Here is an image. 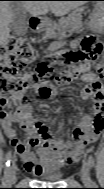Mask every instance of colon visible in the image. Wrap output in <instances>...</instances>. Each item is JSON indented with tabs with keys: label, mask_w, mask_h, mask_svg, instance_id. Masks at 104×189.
Listing matches in <instances>:
<instances>
[{
	"label": "colon",
	"mask_w": 104,
	"mask_h": 189,
	"mask_svg": "<svg viewBox=\"0 0 104 189\" xmlns=\"http://www.w3.org/2000/svg\"><path fill=\"white\" fill-rule=\"evenodd\" d=\"M102 50L103 44L95 36H86L82 41L81 51L65 55L66 61L74 65L64 68L53 77V68L46 62L41 63L35 72L24 71L35 59L34 48L24 37L10 36L1 49L0 93L4 98L16 97L34 89L43 98H50L53 95L54 82L71 81L87 69H95L100 73L98 57ZM34 127L43 137L47 136L44 123L36 122Z\"/></svg>",
	"instance_id": "colon-1"
}]
</instances>
